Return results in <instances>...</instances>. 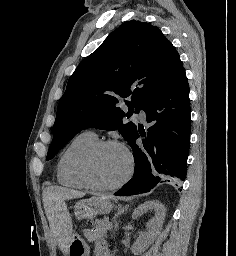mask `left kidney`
<instances>
[{
	"label": "left kidney",
	"mask_w": 236,
	"mask_h": 256,
	"mask_svg": "<svg viewBox=\"0 0 236 256\" xmlns=\"http://www.w3.org/2000/svg\"><path fill=\"white\" fill-rule=\"evenodd\" d=\"M148 210H154L155 218L148 222V232L142 234L141 238H138L135 244H133L131 252H133L134 256H140L142 252H145L150 244H153L154 238H157L162 230L163 222L165 220V208L163 204L157 202V200H150V202L140 204V206L134 210L132 218H139L140 214L148 212Z\"/></svg>",
	"instance_id": "1"
}]
</instances>
